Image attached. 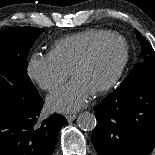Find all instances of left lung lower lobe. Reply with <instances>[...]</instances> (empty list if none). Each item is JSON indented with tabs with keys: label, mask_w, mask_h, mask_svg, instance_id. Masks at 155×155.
Wrapping results in <instances>:
<instances>
[{
	"label": "left lung lower lobe",
	"mask_w": 155,
	"mask_h": 155,
	"mask_svg": "<svg viewBox=\"0 0 155 155\" xmlns=\"http://www.w3.org/2000/svg\"><path fill=\"white\" fill-rule=\"evenodd\" d=\"M100 155H148L155 147V72L119 86L95 107Z\"/></svg>",
	"instance_id": "0a47b994"
}]
</instances>
